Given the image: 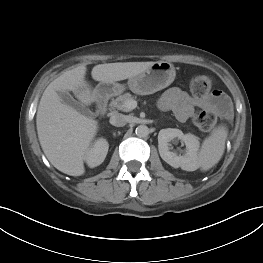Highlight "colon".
I'll return each mask as SVG.
<instances>
[{
  "instance_id": "5ec220e1",
  "label": "colon",
  "mask_w": 263,
  "mask_h": 263,
  "mask_svg": "<svg viewBox=\"0 0 263 263\" xmlns=\"http://www.w3.org/2000/svg\"><path fill=\"white\" fill-rule=\"evenodd\" d=\"M212 87L213 80L208 75H196L190 80V90L197 97H206L212 94ZM193 123L203 131H210L216 123V115L209 109L199 110L193 116Z\"/></svg>"
}]
</instances>
